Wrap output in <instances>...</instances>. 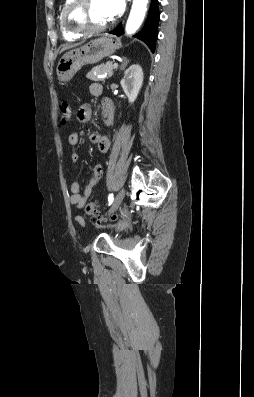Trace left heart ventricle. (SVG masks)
Wrapping results in <instances>:
<instances>
[{
  "mask_svg": "<svg viewBox=\"0 0 254 397\" xmlns=\"http://www.w3.org/2000/svg\"><path fill=\"white\" fill-rule=\"evenodd\" d=\"M83 20L90 26H101L110 21L101 0H90L82 14Z\"/></svg>",
  "mask_w": 254,
  "mask_h": 397,
  "instance_id": "1",
  "label": "left heart ventricle"
}]
</instances>
